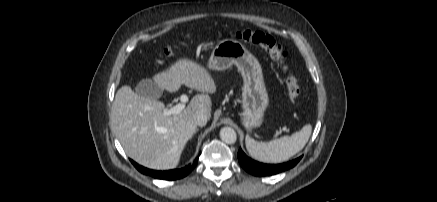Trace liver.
Here are the masks:
<instances>
[{"mask_svg": "<svg viewBox=\"0 0 437 202\" xmlns=\"http://www.w3.org/2000/svg\"><path fill=\"white\" fill-rule=\"evenodd\" d=\"M153 80L170 93L185 85L202 94L195 95L179 114L166 115L162 102L139 96L125 85L115 95L112 119L117 137L131 159L150 169H172L197 131V114L211 116L208 93L215 92L216 84L204 66L188 58L177 60L154 75Z\"/></svg>", "mask_w": 437, "mask_h": 202, "instance_id": "6515ba94", "label": "liver"}]
</instances>
